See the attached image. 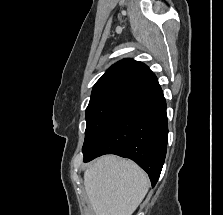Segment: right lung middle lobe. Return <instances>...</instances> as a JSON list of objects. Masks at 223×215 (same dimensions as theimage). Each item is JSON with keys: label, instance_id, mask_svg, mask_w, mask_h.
I'll use <instances>...</instances> for the list:
<instances>
[{"label": "right lung middle lobe", "instance_id": "dd1d6c3e", "mask_svg": "<svg viewBox=\"0 0 223 215\" xmlns=\"http://www.w3.org/2000/svg\"><path fill=\"white\" fill-rule=\"evenodd\" d=\"M144 98L127 91H113L91 98L86 109L83 154L93 150L113 126Z\"/></svg>", "mask_w": 223, "mask_h": 215}]
</instances>
